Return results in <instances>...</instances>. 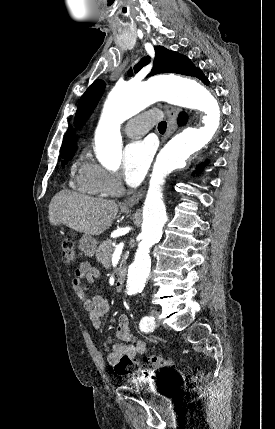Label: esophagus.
<instances>
[{"instance_id": "esophagus-1", "label": "esophagus", "mask_w": 275, "mask_h": 429, "mask_svg": "<svg viewBox=\"0 0 275 429\" xmlns=\"http://www.w3.org/2000/svg\"><path fill=\"white\" fill-rule=\"evenodd\" d=\"M164 109H165V112L167 115V130H166V133L164 135L163 142L165 140H167L175 131V129H176V118H177V115L179 113V109H177L173 106L165 105ZM145 192H146V187L141 188L138 192H136L135 194L130 196L125 201V204L127 206L136 205L141 200V198L145 195Z\"/></svg>"}]
</instances>
